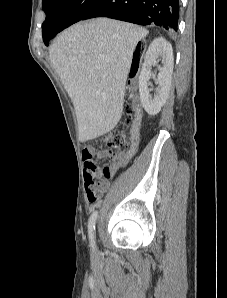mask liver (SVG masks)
<instances>
[{"label":"liver","mask_w":227,"mask_h":298,"mask_svg":"<svg viewBox=\"0 0 227 298\" xmlns=\"http://www.w3.org/2000/svg\"><path fill=\"white\" fill-rule=\"evenodd\" d=\"M147 34L137 25L102 17L67 28L51 46L50 61L73 102L81 142L119 122L133 52Z\"/></svg>","instance_id":"1"}]
</instances>
